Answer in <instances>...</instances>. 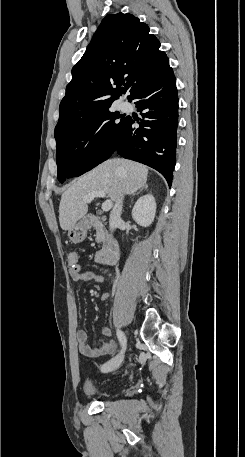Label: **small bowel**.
Listing matches in <instances>:
<instances>
[{"label":"small bowel","mask_w":245,"mask_h":457,"mask_svg":"<svg viewBox=\"0 0 245 457\" xmlns=\"http://www.w3.org/2000/svg\"><path fill=\"white\" fill-rule=\"evenodd\" d=\"M69 274L73 280L83 283L91 281L101 282L103 280V276L100 273L93 271H83L80 268L77 270L71 268L69 270ZM111 294V292H104L101 295V300L106 301L110 298ZM103 333L106 337L111 336V331L107 328L103 330ZM76 342L79 352L84 356L91 358H97L103 355L112 354L115 352L117 347L115 341L112 339L106 340L98 347H91L88 345L87 334L84 330H78L76 332Z\"/></svg>","instance_id":"1"}]
</instances>
